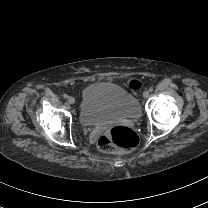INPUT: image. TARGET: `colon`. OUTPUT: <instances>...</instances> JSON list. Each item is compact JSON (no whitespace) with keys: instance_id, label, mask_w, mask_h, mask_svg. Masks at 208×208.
<instances>
[{"instance_id":"1","label":"colon","mask_w":208,"mask_h":208,"mask_svg":"<svg viewBox=\"0 0 208 208\" xmlns=\"http://www.w3.org/2000/svg\"><path fill=\"white\" fill-rule=\"evenodd\" d=\"M142 83L138 80L127 82V88L131 91L139 90ZM139 142L138 135L128 128L115 126L104 133L98 141V147L105 153L120 151L129 152Z\"/></svg>"}]
</instances>
